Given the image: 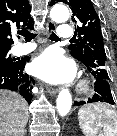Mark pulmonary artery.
<instances>
[{
  "instance_id": "1",
  "label": "pulmonary artery",
  "mask_w": 117,
  "mask_h": 136,
  "mask_svg": "<svg viewBox=\"0 0 117 136\" xmlns=\"http://www.w3.org/2000/svg\"><path fill=\"white\" fill-rule=\"evenodd\" d=\"M58 36L61 39H71L74 37V30L68 24H63L59 28ZM33 49H34L33 44H26V45L15 48L14 51L16 54L22 55V54H27L31 52Z\"/></svg>"
}]
</instances>
